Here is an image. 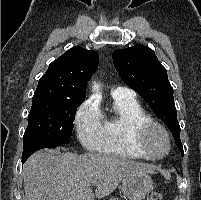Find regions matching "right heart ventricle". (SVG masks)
Here are the masks:
<instances>
[{"label": "right heart ventricle", "instance_id": "e07e8e85", "mask_svg": "<svg viewBox=\"0 0 201 200\" xmlns=\"http://www.w3.org/2000/svg\"><path fill=\"white\" fill-rule=\"evenodd\" d=\"M146 119L149 116L134 97L112 95L111 113L108 116L101 114V138L97 150L131 159H145L134 144L133 128Z\"/></svg>", "mask_w": 201, "mask_h": 200}]
</instances>
